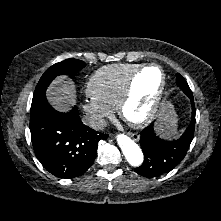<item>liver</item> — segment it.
<instances>
[{"instance_id": "liver-1", "label": "liver", "mask_w": 221, "mask_h": 221, "mask_svg": "<svg viewBox=\"0 0 221 221\" xmlns=\"http://www.w3.org/2000/svg\"><path fill=\"white\" fill-rule=\"evenodd\" d=\"M46 94L49 103L61 112L70 110L76 101L75 84L66 76L56 78L47 89ZM160 118L167 130L175 131L177 118L171 104L164 103L162 105Z\"/></svg>"}]
</instances>
